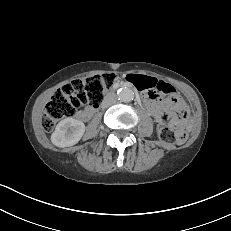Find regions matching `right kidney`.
Masks as SVG:
<instances>
[{"mask_svg": "<svg viewBox=\"0 0 231 231\" xmlns=\"http://www.w3.org/2000/svg\"><path fill=\"white\" fill-rule=\"evenodd\" d=\"M85 132L80 120L68 117L61 120L51 135L52 143L57 147H69L78 143Z\"/></svg>", "mask_w": 231, "mask_h": 231, "instance_id": "ca27d5eb", "label": "right kidney"}]
</instances>
